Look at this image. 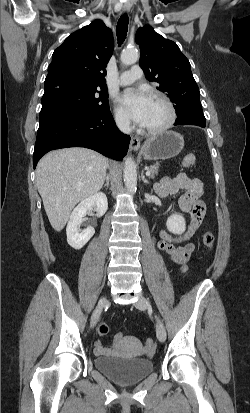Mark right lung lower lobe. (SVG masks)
<instances>
[{
  "mask_svg": "<svg viewBox=\"0 0 250 413\" xmlns=\"http://www.w3.org/2000/svg\"><path fill=\"white\" fill-rule=\"evenodd\" d=\"M130 136L116 127L110 111L91 113L57 110L40 119L33 154V166L50 150L86 147L107 157L122 160Z\"/></svg>",
  "mask_w": 250,
  "mask_h": 413,
  "instance_id": "right-lung-lower-lobe-1",
  "label": "right lung lower lobe"
}]
</instances>
